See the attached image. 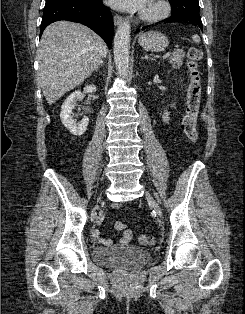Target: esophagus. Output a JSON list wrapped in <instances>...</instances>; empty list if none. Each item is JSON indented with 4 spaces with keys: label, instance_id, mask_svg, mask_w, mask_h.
Here are the masks:
<instances>
[{
    "label": "esophagus",
    "instance_id": "34e87169",
    "mask_svg": "<svg viewBox=\"0 0 245 314\" xmlns=\"http://www.w3.org/2000/svg\"><path fill=\"white\" fill-rule=\"evenodd\" d=\"M123 18L119 15H114V24L118 26L122 22Z\"/></svg>",
    "mask_w": 245,
    "mask_h": 314
}]
</instances>
